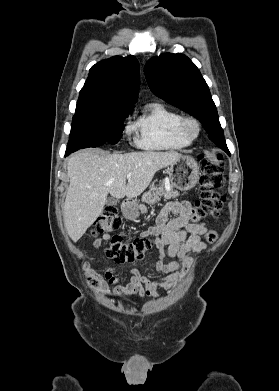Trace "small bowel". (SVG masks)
Here are the masks:
<instances>
[{"label": "small bowel", "instance_id": "1", "mask_svg": "<svg viewBox=\"0 0 279 391\" xmlns=\"http://www.w3.org/2000/svg\"><path fill=\"white\" fill-rule=\"evenodd\" d=\"M176 217L169 220V215ZM192 215V206L188 200L182 202H168L157 216L156 226L140 234V237L152 235L160 252V259L156 263V270L165 274V277L151 279L140 271L133 269L129 272V282L117 289L118 294L126 297L139 295L142 299L158 297L159 289L170 290L175 287L187 274L192 265L190 254L202 252L206 243L202 236L210 231L203 223H197ZM109 235L96 239L95 248L107 241ZM166 258H174L165 261Z\"/></svg>", "mask_w": 279, "mask_h": 391}]
</instances>
